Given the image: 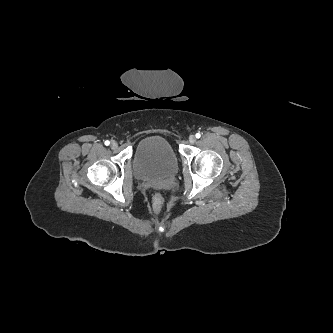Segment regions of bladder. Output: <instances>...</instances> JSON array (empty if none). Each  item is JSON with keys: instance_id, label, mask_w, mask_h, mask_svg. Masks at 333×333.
<instances>
[{"instance_id": "obj_1", "label": "bladder", "mask_w": 333, "mask_h": 333, "mask_svg": "<svg viewBox=\"0 0 333 333\" xmlns=\"http://www.w3.org/2000/svg\"><path fill=\"white\" fill-rule=\"evenodd\" d=\"M133 170L141 180L171 178L178 172V159L167 139L151 135L136 145Z\"/></svg>"}]
</instances>
